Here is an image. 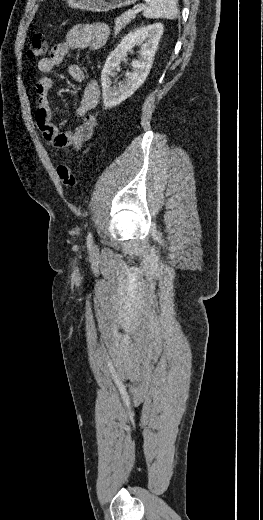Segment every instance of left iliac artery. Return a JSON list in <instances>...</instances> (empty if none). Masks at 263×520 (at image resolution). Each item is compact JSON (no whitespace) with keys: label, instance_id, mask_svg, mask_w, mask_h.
I'll return each instance as SVG.
<instances>
[{"label":"left iliac artery","instance_id":"44dca946","mask_svg":"<svg viewBox=\"0 0 263 520\" xmlns=\"http://www.w3.org/2000/svg\"><path fill=\"white\" fill-rule=\"evenodd\" d=\"M92 243H93L92 234H91V232H89L88 235H87V245L89 247H91Z\"/></svg>","mask_w":263,"mask_h":520}]
</instances>
